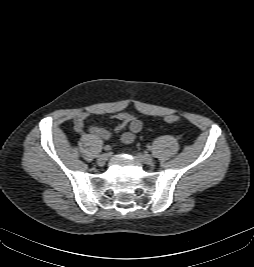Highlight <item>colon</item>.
I'll return each mask as SVG.
<instances>
[{
    "label": "colon",
    "mask_w": 254,
    "mask_h": 267,
    "mask_svg": "<svg viewBox=\"0 0 254 267\" xmlns=\"http://www.w3.org/2000/svg\"><path fill=\"white\" fill-rule=\"evenodd\" d=\"M167 123H176L179 121V117L175 114H170L165 117Z\"/></svg>",
    "instance_id": "colon-1"
}]
</instances>
